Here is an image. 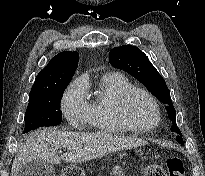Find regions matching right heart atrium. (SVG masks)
Segmentation results:
<instances>
[{
  "instance_id": "obj_1",
  "label": "right heart atrium",
  "mask_w": 205,
  "mask_h": 176,
  "mask_svg": "<svg viewBox=\"0 0 205 176\" xmlns=\"http://www.w3.org/2000/svg\"><path fill=\"white\" fill-rule=\"evenodd\" d=\"M61 110L71 125L80 126L87 119L89 103L83 78L75 79L67 87L61 99Z\"/></svg>"
}]
</instances>
